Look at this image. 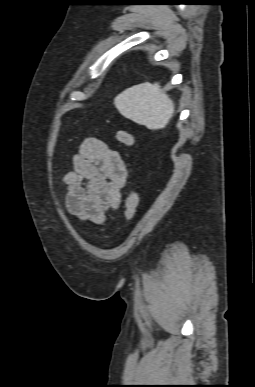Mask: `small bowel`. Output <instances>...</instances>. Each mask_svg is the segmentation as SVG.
Returning a JSON list of instances; mask_svg holds the SVG:
<instances>
[{
  "label": "small bowel",
  "mask_w": 255,
  "mask_h": 387,
  "mask_svg": "<svg viewBox=\"0 0 255 387\" xmlns=\"http://www.w3.org/2000/svg\"><path fill=\"white\" fill-rule=\"evenodd\" d=\"M66 173V208L82 221L101 225L105 213L121 204L128 172L120 154L100 139H84Z\"/></svg>",
  "instance_id": "obj_1"
}]
</instances>
